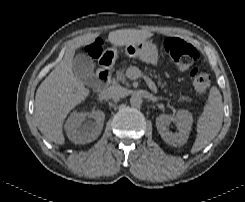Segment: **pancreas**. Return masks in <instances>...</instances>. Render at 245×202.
Segmentation results:
<instances>
[{
  "label": "pancreas",
  "instance_id": "1",
  "mask_svg": "<svg viewBox=\"0 0 245 202\" xmlns=\"http://www.w3.org/2000/svg\"><path fill=\"white\" fill-rule=\"evenodd\" d=\"M124 70H125V68H123V69H121V70H118V71L116 72V80H117V81L125 82Z\"/></svg>",
  "mask_w": 245,
  "mask_h": 202
}]
</instances>
